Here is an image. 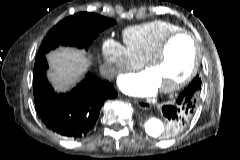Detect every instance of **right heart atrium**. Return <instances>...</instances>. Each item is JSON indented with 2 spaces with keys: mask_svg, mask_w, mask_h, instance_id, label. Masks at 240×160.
<instances>
[{
  "mask_svg": "<svg viewBox=\"0 0 240 160\" xmlns=\"http://www.w3.org/2000/svg\"><path fill=\"white\" fill-rule=\"evenodd\" d=\"M103 73L107 78H113L126 69L135 68L138 63L128 54L123 45L115 40H106L101 48Z\"/></svg>",
  "mask_w": 240,
  "mask_h": 160,
  "instance_id": "right-heart-atrium-1",
  "label": "right heart atrium"
}]
</instances>
